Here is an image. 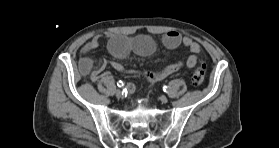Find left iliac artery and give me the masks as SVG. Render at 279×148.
<instances>
[{
    "instance_id": "1",
    "label": "left iliac artery",
    "mask_w": 279,
    "mask_h": 148,
    "mask_svg": "<svg viewBox=\"0 0 279 148\" xmlns=\"http://www.w3.org/2000/svg\"><path fill=\"white\" fill-rule=\"evenodd\" d=\"M163 91L167 92L168 91V87L167 86H163Z\"/></svg>"
}]
</instances>
